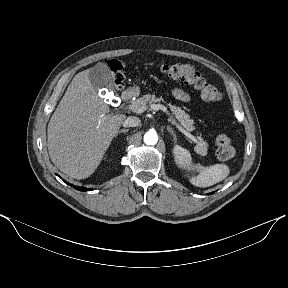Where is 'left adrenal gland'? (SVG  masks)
I'll use <instances>...</instances> for the list:
<instances>
[{
  "label": "left adrenal gland",
  "mask_w": 288,
  "mask_h": 288,
  "mask_svg": "<svg viewBox=\"0 0 288 288\" xmlns=\"http://www.w3.org/2000/svg\"><path fill=\"white\" fill-rule=\"evenodd\" d=\"M167 130L169 131V133L173 136V141L176 143L177 142V136L174 133L173 129L170 126H167Z\"/></svg>",
  "instance_id": "left-adrenal-gland-1"
}]
</instances>
